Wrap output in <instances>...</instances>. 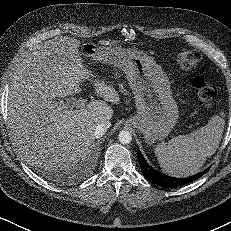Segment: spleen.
<instances>
[{"label": "spleen", "instance_id": "spleen-1", "mask_svg": "<svg viewBox=\"0 0 231 231\" xmlns=\"http://www.w3.org/2000/svg\"><path fill=\"white\" fill-rule=\"evenodd\" d=\"M223 116V112L216 114L199 130L176 136L168 145L157 146L154 153L163 172L173 177L198 173L219 146L225 125Z\"/></svg>", "mask_w": 231, "mask_h": 231}]
</instances>
